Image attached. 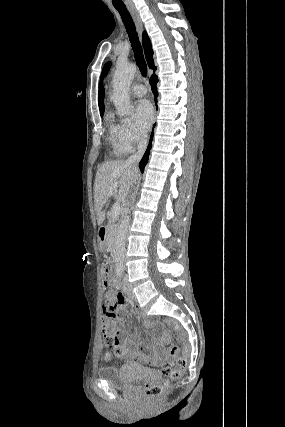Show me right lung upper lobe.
Segmentation results:
<instances>
[{
  "mask_svg": "<svg viewBox=\"0 0 285 427\" xmlns=\"http://www.w3.org/2000/svg\"><path fill=\"white\" fill-rule=\"evenodd\" d=\"M143 47H144V52H145V56H146V60H147V63L149 65V68L155 71L156 67L154 66V61L152 59L153 50H152L150 39H149L146 32H144V34H143ZM153 75H155V74H153ZM103 100H104V94H103L102 90H100L99 95H98V103H99V109H100L101 116L104 113V102H103Z\"/></svg>",
  "mask_w": 285,
  "mask_h": 427,
  "instance_id": "1",
  "label": "right lung upper lobe"
}]
</instances>
